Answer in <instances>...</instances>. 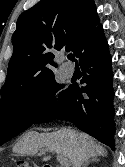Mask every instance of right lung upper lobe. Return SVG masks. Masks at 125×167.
<instances>
[{
  "instance_id": "cb5924a9",
  "label": "right lung upper lobe",
  "mask_w": 125,
  "mask_h": 167,
  "mask_svg": "<svg viewBox=\"0 0 125 167\" xmlns=\"http://www.w3.org/2000/svg\"><path fill=\"white\" fill-rule=\"evenodd\" d=\"M94 0H42L23 12L12 36L1 100L23 94L54 77V51L83 48L101 32Z\"/></svg>"
}]
</instances>
